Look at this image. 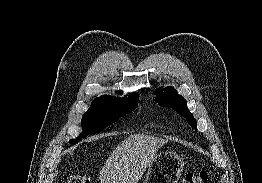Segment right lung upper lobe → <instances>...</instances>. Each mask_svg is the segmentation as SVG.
I'll return each mask as SVG.
<instances>
[{
  "instance_id": "obj_1",
  "label": "right lung upper lobe",
  "mask_w": 262,
  "mask_h": 183,
  "mask_svg": "<svg viewBox=\"0 0 262 183\" xmlns=\"http://www.w3.org/2000/svg\"><path fill=\"white\" fill-rule=\"evenodd\" d=\"M134 100H137V96L134 95V94L130 95L129 98H126V97L116 98V97H113V96L104 95V96H102L101 98L95 99V101H98V102H106V103H110V104H115V103H120V102H126V101H134Z\"/></svg>"
}]
</instances>
